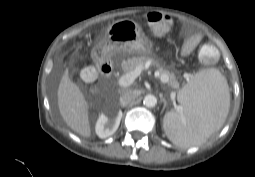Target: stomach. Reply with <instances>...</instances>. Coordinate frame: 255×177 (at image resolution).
I'll return each instance as SVG.
<instances>
[{"label": "stomach", "mask_w": 255, "mask_h": 177, "mask_svg": "<svg viewBox=\"0 0 255 177\" xmlns=\"http://www.w3.org/2000/svg\"><path fill=\"white\" fill-rule=\"evenodd\" d=\"M95 49L102 59L126 55H151L152 43L135 21L121 19L113 22Z\"/></svg>", "instance_id": "0dacf381"}]
</instances>
